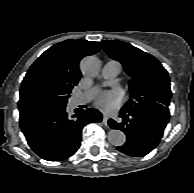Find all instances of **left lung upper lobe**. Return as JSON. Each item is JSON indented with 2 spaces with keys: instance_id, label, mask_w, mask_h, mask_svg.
Returning a JSON list of instances; mask_svg holds the SVG:
<instances>
[{
  "instance_id": "left-lung-upper-lobe-1",
  "label": "left lung upper lobe",
  "mask_w": 194,
  "mask_h": 193,
  "mask_svg": "<svg viewBox=\"0 0 194 193\" xmlns=\"http://www.w3.org/2000/svg\"><path fill=\"white\" fill-rule=\"evenodd\" d=\"M104 51L119 61L130 81V99L123 110L168 107L171 99L170 80L166 69L152 55L121 41H103Z\"/></svg>"
}]
</instances>
